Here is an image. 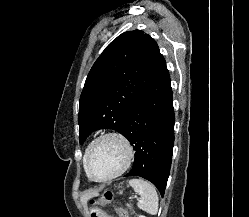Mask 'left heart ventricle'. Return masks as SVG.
I'll use <instances>...</instances> for the list:
<instances>
[{
    "label": "left heart ventricle",
    "instance_id": "obj_1",
    "mask_svg": "<svg viewBox=\"0 0 249 217\" xmlns=\"http://www.w3.org/2000/svg\"><path fill=\"white\" fill-rule=\"evenodd\" d=\"M125 149L116 139H106L96 145L90 159L89 168L96 178H104L116 172L124 163Z\"/></svg>",
    "mask_w": 249,
    "mask_h": 217
}]
</instances>
